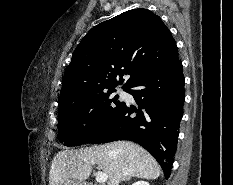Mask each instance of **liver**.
Segmentation results:
<instances>
[{
    "label": "liver",
    "instance_id": "6515ba94",
    "mask_svg": "<svg viewBox=\"0 0 233 185\" xmlns=\"http://www.w3.org/2000/svg\"><path fill=\"white\" fill-rule=\"evenodd\" d=\"M97 165L108 176V185H119L127 177L157 179L161 168L141 146L130 141H115L80 150H62L53 158L49 185H63L68 179L84 181Z\"/></svg>",
    "mask_w": 233,
    "mask_h": 185
}]
</instances>
